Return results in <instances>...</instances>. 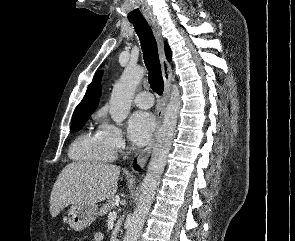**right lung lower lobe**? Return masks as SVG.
Wrapping results in <instances>:
<instances>
[{
  "instance_id": "obj_1",
  "label": "right lung lower lobe",
  "mask_w": 295,
  "mask_h": 241,
  "mask_svg": "<svg viewBox=\"0 0 295 241\" xmlns=\"http://www.w3.org/2000/svg\"><path fill=\"white\" fill-rule=\"evenodd\" d=\"M135 169H139V168L135 166Z\"/></svg>"
}]
</instances>
